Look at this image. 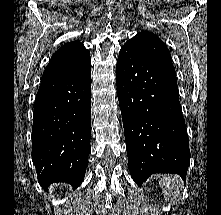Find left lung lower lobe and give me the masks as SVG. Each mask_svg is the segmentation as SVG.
I'll use <instances>...</instances> for the list:
<instances>
[{
	"label": "left lung lower lobe",
	"instance_id": "0a47b994",
	"mask_svg": "<svg viewBox=\"0 0 221 215\" xmlns=\"http://www.w3.org/2000/svg\"><path fill=\"white\" fill-rule=\"evenodd\" d=\"M176 74L124 44L117 60V95L128 164L141 185L151 174L176 173L185 179L190 164Z\"/></svg>",
	"mask_w": 221,
	"mask_h": 215
}]
</instances>
